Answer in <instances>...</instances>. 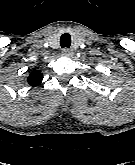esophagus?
<instances>
[{
  "instance_id": "esophagus-1",
  "label": "esophagus",
  "mask_w": 135,
  "mask_h": 165,
  "mask_svg": "<svg viewBox=\"0 0 135 165\" xmlns=\"http://www.w3.org/2000/svg\"><path fill=\"white\" fill-rule=\"evenodd\" d=\"M72 53H73V51H72L71 49H68V48H64V49L62 50V54H63L64 56H70V55H72Z\"/></svg>"
}]
</instances>
